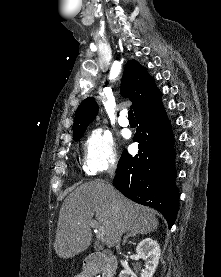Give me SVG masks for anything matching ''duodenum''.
<instances>
[{
  "label": "duodenum",
  "mask_w": 221,
  "mask_h": 277,
  "mask_svg": "<svg viewBox=\"0 0 221 277\" xmlns=\"http://www.w3.org/2000/svg\"><path fill=\"white\" fill-rule=\"evenodd\" d=\"M117 267L118 262L114 256L92 253L83 262V274L92 277L98 271H105L108 277H115Z\"/></svg>",
  "instance_id": "obj_1"
}]
</instances>
